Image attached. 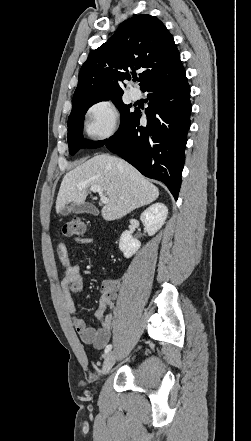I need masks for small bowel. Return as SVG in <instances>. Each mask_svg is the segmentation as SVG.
Wrapping results in <instances>:
<instances>
[{
  "instance_id": "small-bowel-1",
  "label": "small bowel",
  "mask_w": 251,
  "mask_h": 441,
  "mask_svg": "<svg viewBox=\"0 0 251 441\" xmlns=\"http://www.w3.org/2000/svg\"><path fill=\"white\" fill-rule=\"evenodd\" d=\"M76 242L87 246L93 244L91 238H78ZM57 256L64 269L60 280V287L73 327L83 343L92 345L96 349H102L110 341L116 325L113 309L120 283L116 279H105L102 281L100 288L101 297L95 313L96 318L101 323V327L94 328L88 326L78 315L75 304V298L84 292L83 270L79 264L71 263L66 244H58Z\"/></svg>"
}]
</instances>
